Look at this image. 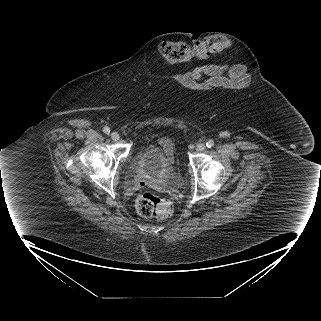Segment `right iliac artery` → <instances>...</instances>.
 Wrapping results in <instances>:
<instances>
[{"label":"right iliac artery","mask_w":321,"mask_h":321,"mask_svg":"<svg viewBox=\"0 0 321 321\" xmlns=\"http://www.w3.org/2000/svg\"><path fill=\"white\" fill-rule=\"evenodd\" d=\"M103 132L106 133V134H109L110 133L109 127H104L103 128Z\"/></svg>","instance_id":"obj_1"}]
</instances>
